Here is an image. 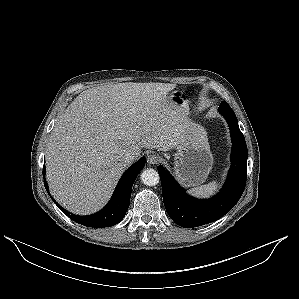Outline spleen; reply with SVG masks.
I'll return each mask as SVG.
<instances>
[{
	"mask_svg": "<svg viewBox=\"0 0 299 299\" xmlns=\"http://www.w3.org/2000/svg\"><path fill=\"white\" fill-rule=\"evenodd\" d=\"M217 188H218V182L212 181L208 184L191 188L188 192L189 194L196 197H209L216 192Z\"/></svg>",
	"mask_w": 299,
	"mask_h": 299,
	"instance_id": "3e777b00",
	"label": "spleen"
}]
</instances>
